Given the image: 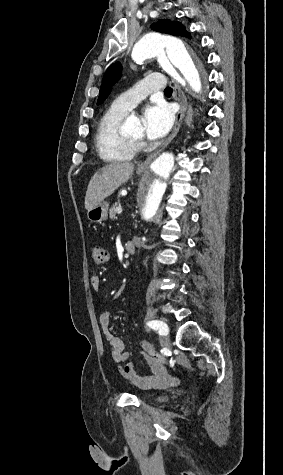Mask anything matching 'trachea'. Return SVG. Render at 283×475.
I'll return each mask as SVG.
<instances>
[{
	"instance_id": "obj_1",
	"label": "trachea",
	"mask_w": 283,
	"mask_h": 475,
	"mask_svg": "<svg viewBox=\"0 0 283 475\" xmlns=\"http://www.w3.org/2000/svg\"><path fill=\"white\" fill-rule=\"evenodd\" d=\"M164 93H165V94H170V95H171V94H172V88H170V87H166V88H165V90H164Z\"/></svg>"
}]
</instances>
